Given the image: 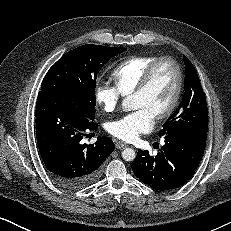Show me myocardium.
<instances>
[{"label": "myocardium", "mask_w": 231, "mask_h": 231, "mask_svg": "<svg viewBox=\"0 0 231 231\" xmlns=\"http://www.w3.org/2000/svg\"><path fill=\"white\" fill-rule=\"evenodd\" d=\"M165 61L169 62L174 67V70L176 73V85H175V89H174V92H173V95H172V98L169 104L162 111L155 114V118L158 120H161V119H164L170 116L174 112V110L176 109L179 103V100H180V97L183 91V85H184V75H183V71H182L180 64L171 56L158 57L146 68L137 87L132 92V95L143 93L147 89L156 67L160 63L165 62Z\"/></svg>", "instance_id": "1"}]
</instances>
